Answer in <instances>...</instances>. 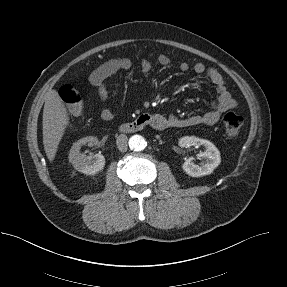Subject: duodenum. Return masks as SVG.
<instances>
[{
    "mask_svg": "<svg viewBox=\"0 0 287 287\" xmlns=\"http://www.w3.org/2000/svg\"><path fill=\"white\" fill-rule=\"evenodd\" d=\"M159 119L156 115L142 114L131 122L123 123L120 126L122 133H133L143 130L145 127L158 128Z\"/></svg>",
    "mask_w": 287,
    "mask_h": 287,
    "instance_id": "410a0bca",
    "label": "duodenum"
}]
</instances>
